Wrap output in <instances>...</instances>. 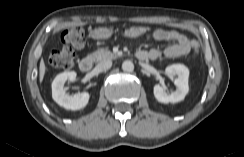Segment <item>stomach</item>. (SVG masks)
<instances>
[{
	"label": "stomach",
	"mask_w": 244,
	"mask_h": 157,
	"mask_svg": "<svg viewBox=\"0 0 244 157\" xmlns=\"http://www.w3.org/2000/svg\"><path fill=\"white\" fill-rule=\"evenodd\" d=\"M112 34L113 31L106 27L96 28L91 32V36L95 39H108Z\"/></svg>",
	"instance_id": "0dacf381"
}]
</instances>
